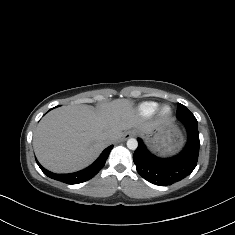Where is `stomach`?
<instances>
[{
	"label": "stomach",
	"mask_w": 235,
	"mask_h": 235,
	"mask_svg": "<svg viewBox=\"0 0 235 235\" xmlns=\"http://www.w3.org/2000/svg\"><path fill=\"white\" fill-rule=\"evenodd\" d=\"M152 148L160 154L176 152L183 143V136L173 125L164 129L157 128L151 133L142 134Z\"/></svg>",
	"instance_id": "stomach-1"
}]
</instances>
